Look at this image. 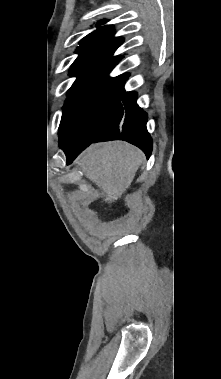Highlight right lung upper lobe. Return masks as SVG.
I'll return each instance as SVG.
<instances>
[{
    "mask_svg": "<svg viewBox=\"0 0 221 379\" xmlns=\"http://www.w3.org/2000/svg\"><path fill=\"white\" fill-rule=\"evenodd\" d=\"M104 23L105 21L99 22L97 26ZM122 42V38L114 37L111 25L99 27L83 38L77 48L79 56L70 69V75L77 77L71 89L97 81L126 80L128 74L113 78L108 76L112 68L122 59L121 56H113Z\"/></svg>",
    "mask_w": 221,
    "mask_h": 379,
    "instance_id": "right-lung-upper-lobe-1",
    "label": "right lung upper lobe"
}]
</instances>
